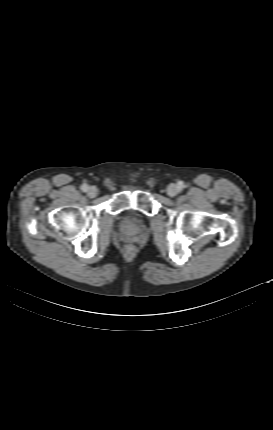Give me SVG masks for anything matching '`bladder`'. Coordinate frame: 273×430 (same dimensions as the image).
Here are the masks:
<instances>
[{"mask_svg":"<svg viewBox=\"0 0 273 430\" xmlns=\"http://www.w3.org/2000/svg\"><path fill=\"white\" fill-rule=\"evenodd\" d=\"M123 226L126 229H134V228H136L138 226V223H137V221H136V219L134 217L126 216L123 219Z\"/></svg>","mask_w":273,"mask_h":430,"instance_id":"obj_1","label":"bladder"}]
</instances>
